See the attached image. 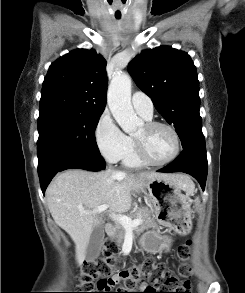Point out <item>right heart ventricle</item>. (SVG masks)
Wrapping results in <instances>:
<instances>
[{
    "instance_id": "right-heart-ventricle-1",
    "label": "right heart ventricle",
    "mask_w": 245,
    "mask_h": 293,
    "mask_svg": "<svg viewBox=\"0 0 245 293\" xmlns=\"http://www.w3.org/2000/svg\"><path fill=\"white\" fill-rule=\"evenodd\" d=\"M123 163L128 168H140L145 165L138 158L134 145H132L130 151L123 157Z\"/></svg>"
}]
</instances>
